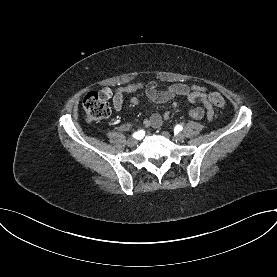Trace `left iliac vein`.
Here are the masks:
<instances>
[{"label":"left iliac vein","instance_id":"left-iliac-vein-1","mask_svg":"<svg viewBox=\"0 0 277 277\" xmlns=\"http://www.w3.org/2000/svg\"><path fill=\"white\" fill-rule=\"evenodd\" d=\"M163 134H164L165 136H167V133H166V132H164ZM175 139H176L177 141H183V140H184V135L181 134V133H179V134H177V135L175 136Z\"/></svg>","mask_w":277,"mask_h":277}]
</instances>
